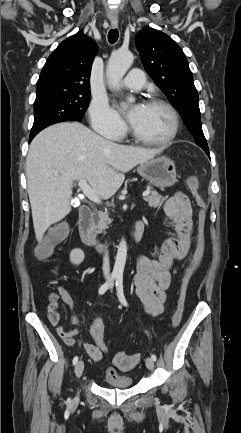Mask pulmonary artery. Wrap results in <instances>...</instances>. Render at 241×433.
Here are the masks:
<instances>
[{
    "mask_svg": "<svg viewBox=\"0 0 241 433\" xmlns=\"http://www.w3.org/2000/svg\"><path fill=\"white\" fill-rule=\"evenodd\" d=\"M144 73L139 69H133L123 81V85L130 90H141L145 86Z\"/></svg>",
    "mask_w": 241,
    "mask_h": 433,
    "instance_id": "e3ab8cb5",
    "label": "pulmonary artery"
}]
</instances>
